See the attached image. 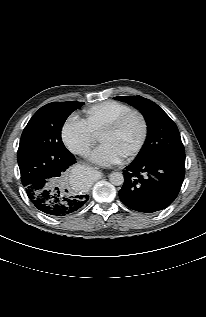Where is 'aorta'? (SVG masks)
Masks as SVG:
<instances>
[{
  "instance_id": "762f6f07",
  "label": "aorta",
  "mask_w": 206,
  "mask_h": 317,
  "mask_svg": "<svg viewBox=\"0 0 206 317\" xmlns=\"http://www.w3.org/2000/svg\"><path fill=\"white\" fill-rule=\"evenodd\" d=\"M110 182L115 186H120L124 183V176L121 172H113L109 175Z\"/></svg>"
}]
</instances>
